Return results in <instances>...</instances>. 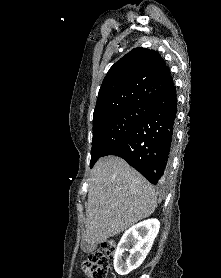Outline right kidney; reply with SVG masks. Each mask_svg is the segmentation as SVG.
I'll use <instances>...</instances> for the list:
<instances>
[{
	"label": "right kidney",
	"mask_w": 221,
	"mask_h": 278,
	"mask_svg": "<svg viewBox=\"0 0 221 278\" xmlns=\"http://www.w3.org/2000/svg\"><path fill=\"white\" fill-rule=\"evenodd\" d=\"M159 228L160 222L157 219H148L123 234L114 254V269L119 275H127L143 263ZM125 251L129 252V256L124 254Z\"/></svg>",
	"instance_id": "1"
}]
</instances>
